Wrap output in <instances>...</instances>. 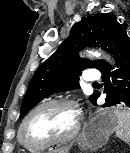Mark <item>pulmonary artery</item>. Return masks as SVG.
<instances>
[{
    "label": "pulmonary artery",
    "mask_w": 130,
    "mask_h": 153,
    "mask_svg": "<svg viewBox=\"0 0 130 153\" xmlns=\"http://www.w3.org/2000/svg\"><path fill=\"white\" fill-rule=\"evenodd\" d=\"M100 78V72L98 70H90L85 76V80L89 83H95Z\"/></svg>",
    "instance_id": "obj_1"
}]
</instances>
